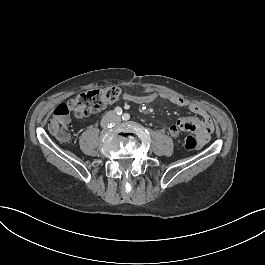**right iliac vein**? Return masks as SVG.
I'll list each match as a JSON object with an SVG mask.
<instances>
[{
    "mask_svg": "<svg viewBox=\"0 0 265 265\" xmlns=\"http://www.w3.org/2000/svg\"><path fill=\"white\" fill-rule=\"evenodd\" d=\"M113 120L112 113L107 114L101 121L102 126H106L108 123H110Z\"/></svg>",
    "mask_w": 265,
    "mask_h": 265,
    "instance_id": "63e3f726",
    "label": "right iliac vein"
}]
</instances>
